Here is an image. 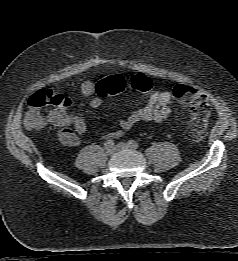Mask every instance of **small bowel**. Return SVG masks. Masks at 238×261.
I'll list each match as a JSON object with an SVG mask.
<instances>
[{
  "label": "small bowel",
  "mask_w": 238,
  "mask_h": 261,
  "mask_svg": "<svg viewBox=\"0 0 238 261\" xmlns=\"http://www.w3.org/2000/svg\"><path fill=\"white\" fill-rule=\"evenodd\" d=\"M81 93L91 97L90 106L100 108L104 105L105 96L97 93L96 84L92 81H84L81 84ZM172 96L169 92L153 90L147 105L132 111L119 122V129L110 134L111 137H119L129 131L138 122H162L170 112ZM49 123L55 127L59 141L65 146L74 147L80 143V137L86 131V122L80 116L65 113L62 110L52 109L48 115Z\"/></svg>",
  "instance_id": "1"
}]
</instances>
